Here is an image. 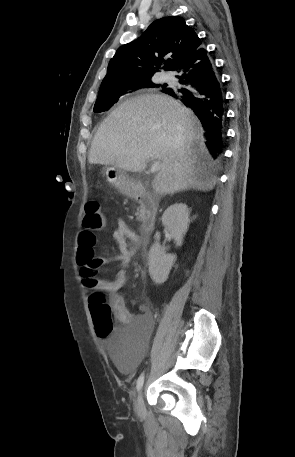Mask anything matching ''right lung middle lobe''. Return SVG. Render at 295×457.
<instances>
[{
  "mask_svg": "<svg viewBox=\"0 0 295 457\" xmlns=\"http://www.w3.org/2000/svg\"><path fill=\"white\" fill-rule=\"evenodd\" d=\"M166 84H155L152 80H147L137 86H126L113 90L99 91L97 101L94 106V112H103L109 110L119 99L138 88H160L162 91L167 88Z\"/></svg>",
  "mask_w": 295,
  "mask_h": 457,
  "instance_id": "dd1d6c3e",
  "label": "right lung middle lobe"
}]
</instances>
